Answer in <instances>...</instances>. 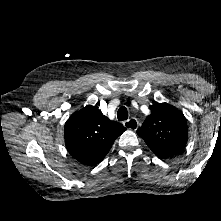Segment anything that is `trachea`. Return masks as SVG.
Here are the masks:
<instances>
[{
    "label": "trachea",
    "mask_w": 221,
    "mask_h": 221,
    "mask_svg": "<svg viewBox=\"0 0 221 221\" xmlns=\"http://www.w3.org/2000/svg\"><path fill=\"white\" fill-rule=\"evenodd\" d=\"M117 118L119 121H124L128 119V111L126 107L122 106L118 109Z\"/></svg>",
    "instance_id": "trachea-1"
}]
</instances>
